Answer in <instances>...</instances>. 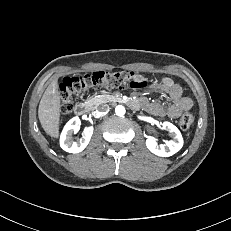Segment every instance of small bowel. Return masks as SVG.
I'll list each match as a JSON object with an SVG mask.
<instances>
[{"label": "small bowel", "mask_w": 231, "mask_h": 231, "mask_svg": "<svg viewBox=\"0 0 231 231\" xmlns=\"http://www.w3.org/2000/svg\"><path fill=\"white\" fill-rule=\"evenodd\" d=\"M136 78L140 81H146L148 84V80L142 75L137 74ZM151 89L164 92L171 101V104L164 105L150 102L146 98H139L133 101L134 107H141L147 113L156 117H169L171 119H176L182 111L191 109L193 105L192 100L183 95L180 85L168 77H163L159 81L153 83Z\"/></svg>", "instance_id": "1"}]
</instances>
